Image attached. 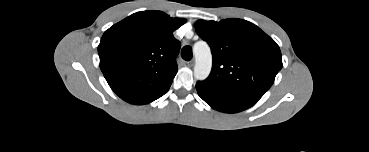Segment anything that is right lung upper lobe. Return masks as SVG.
Returning a JSON list of instances; mask_svg holds the SVG:
<instances>
[{
	"mask_svg": "<svg viewBox=\"0 0 369 152\" xmlns=\"http://www.w3.org/2000/svg\"><path fill=\"white\" fill-rule=\"evenodd\" d=\"M184 23L161 11H142L105 31L98 46L100 68L120 98L141 105L169 90L180 50L173 31Z\"/></svg>",
	"mask_w": 369,
	"mask_h": 152,
	"instance_id": "1",
	"label": "right lung upper lobe"
}]
</instances>
